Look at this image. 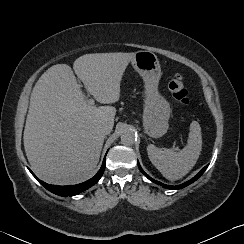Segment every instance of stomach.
Instances as JSON below:
<instances>
[{
	"instance_id": "stomach-1",
	"label": "stomach",
	"mask_w": 244,
	"mask_h": 244,
	"mask_svg": "<svg viewBox=\"0 0 244 244\" xmlns=\"http://www.w3.org/2000/svg\"><path fill=\"white\" fill-rule=\"evenodd\" d=\"M131 63L145 82L142 115L144 132L153 138L161 137L169 128L171 108L158 91V82L162 74L158 57L151 51L140 50L135 53Z\"/></svg>"
}]
</instances>
